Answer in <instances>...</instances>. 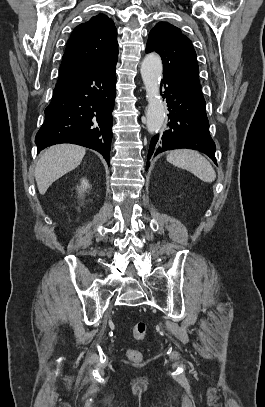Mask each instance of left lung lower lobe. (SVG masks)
Instances as JSON below:
<instances>
[{"label": "left lung lower lobe", "mask_w": 265, "mask_h": 407, "mask_svg": "<svg viewBox=\"0 0 265 407\" xmlns=\"http://www.w3.org/2000/svg\"><path fill=\"white\" fill-rule=\"evenodd\" d=\"M162 88V97L168 103L170 122L163 135L157 134L152 138L148 159L166 150L191 148L204 152L216 163V147L209 133L205 100L167 77L161 81V94ZM148 167L149 163L146 170Z\"/></svg>", "instance_id": "left-lung-lower-lobe-1"}]
</instances>
